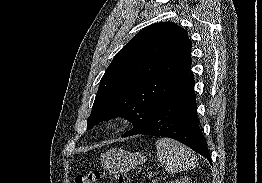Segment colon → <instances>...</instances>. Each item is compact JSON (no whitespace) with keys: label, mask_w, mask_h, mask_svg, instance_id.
Returning <instances> with one entry per match:
<instances>
[{"label":"colon","mask_w":262,"mask_h":183,"mask_svg":"<svg viewBox=\"0 0 262 183\" xmlns=\"http://www.w3.org/2000/svg\"><path fill=\"white\" fill-rule=\"evenodd\" d=\"M110 177L106 173L99 170H89L80 175L75 179V183H99L101 180ZM111 178L117 183H128L129 178L126 175H113Z\"/></svg>","instance_id":"colon-1"}]
</instances>
